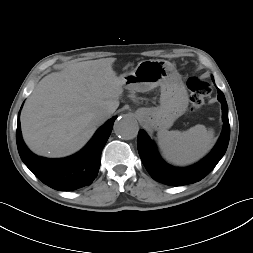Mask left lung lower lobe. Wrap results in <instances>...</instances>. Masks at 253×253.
<instances>
[{
  "label": "left lung lower lobe",
  "instance_id": "left-lung-lower-lobe-1",
  "mask_svg": "<svg viewBox=\"0 0 253 253\" xmlns=\"http://www.w3.org/2000/svg\"><path fill=\"white\" fill-rule=\"evenodd\" d=\"M218 100L222 104L224 126L220 138L211 153L200 162L186 168L168 165L159 156L156 147L144 130H140L137 138L138 152L151 177L163 184L181 186L195 183L207 176L217 165L226 152L230 137L228 107L221 90H218Z\"/></svg>",
  "mask_w": 253,
  "mask_h": 253
}]
</instances>
